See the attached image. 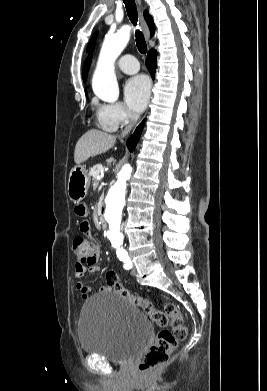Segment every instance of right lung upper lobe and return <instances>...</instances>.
Masks as SVG:
<instances>
[{
    "label": "right lung upper lobe",
    "mask_w": 267,
    "mask_h": 391,
    "mask_svg": "<svg viewBox=\"0 0 267 391\" xmlns=\"http://www.w3.org/2000/svg\"><path fill=\"white\" fill-rule=\"evenodd\" d=\"M144 17H145V20H146V22H147L149 28H150L151 35H153V34H154V31H155V26H154V22H153L152 17L148 14L147 11L144 12ZM90 64H91V55L88 57V59H87L85 65H84V68H83V70H82V77H83L84 82H86L87 73H88Z\"/></svg>",
    "instance_id": "right-lung-upper-lobe-1"
}]
</instances>
